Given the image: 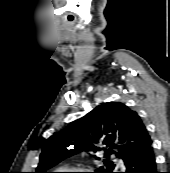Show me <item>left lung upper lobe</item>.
<instances>
[{
    "instance_id": "left-lung-upper-lobe-1",
    "label": "left lung upper lobe",
    "mask_w": 170,
    "mask_h": 173,
    "mask_svg": "<svg viewBox=\"0 0 170 173\" xmlns=\"http://www.w3.org/2000/svg\"><path fill=\"white\" fill-rule=\"evenodd\" d=\"M151 141L135 111L120 102H106L52 135L42 150L35 173H48L52 166L79 152L101 150L105 152L104 166L94 173H113L115 165L107 160L111 154L123 158Z\"/></svg>"
}]
</instances>
